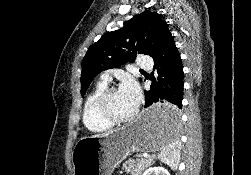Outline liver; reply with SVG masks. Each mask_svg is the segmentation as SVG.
Listing matches in <instances>:
<instances>
[{
    "label": "liver",
    "mask_w": 251,
    "mask_h": 175,
    "mask_svg": "<svg viewBox=\"0 0 251 175\" xmlns=\"http://www.w3.org/2000/svg\"><path fill=\"white\" fill-rule=\"evenodd\" d=\"M108 133H113V131H108ZM108 133H97V135H93V137H105ZM83 139V137H81Z\"/></svg>",
    "instance_id": "liver-1"
}]
</instances>
